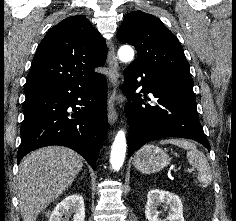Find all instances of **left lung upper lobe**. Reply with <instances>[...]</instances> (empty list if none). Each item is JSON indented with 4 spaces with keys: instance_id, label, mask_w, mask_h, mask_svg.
I'll return each instance as SVG.
<instances>
[{
    "instance_id": "obj_1",
    "label": "left lung upper lobe",
    "mask_w": 236,
    "mask_h": 221,
    "mask_svg": "<svg viewBox=\"0 0 236 221\" xmlns=\"http://www.w3.org/2000/svg\"><path fill=\"white\" fill-rule=\"evenodd\" d=\"M118 38L136 48L139 65L167 77L193 84L189 63L176 36L155 16L140 10L124 18Z\"/></svg>"
}]
</instances>
